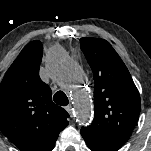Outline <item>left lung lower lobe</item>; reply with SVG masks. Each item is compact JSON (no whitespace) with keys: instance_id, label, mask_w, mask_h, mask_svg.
I'll return each instance as SVG.
<instances>
[{"instance_id":"1","label":"left lung lower lobe","mask_w":151,"mask_h":151,"mask_svg":"<svg viewBox=\"0 0 151 151\" xmlns=\"http://www.w3.org/2000/svg\"><path fill=\"white\" fill-rule=\"evenodd\" d=\"M81 135L92 151H117L128 140L125 137L96 135L88 132H83Z\"/></svg>"}]
</instances>
